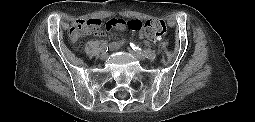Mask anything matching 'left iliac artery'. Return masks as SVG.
Listing matches in <instances>:
<instances>
[{"label":"left iliac artery","mask_w":255,"mask_h":122,"mask_svg":"<svg viewBox=\"0 0 255 122\" xmlns=\"http://www.w3.org/2000/svg\"><path fill=\"white\" fill-rule=\"evenodd\" d=\"M130 47L139 53H141L143 56L150 60H154L156 58V53L152 50H142L139 46L135 45L134 43L130 42Z\"/></svg>","instance_id":"left-iliac-artery-1"}]
</instances>
